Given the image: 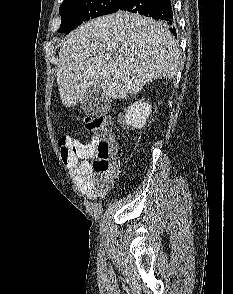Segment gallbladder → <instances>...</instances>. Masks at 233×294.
Masks as SVG:
<instances>
[{"instance_id":"bac80fb5","label":"gallbladder","mask_w":233,"mask_h":294,"mask_svg":"<svg viewBox=\"0 0 233 294\" xmlns=\"http://www.w3.org/2000/svg\"><path fill=\"white\" fill-rule=\"evenodd\" d=\"M108 103L109 100L103 95L100 86L93 85L83 97L81 108L86 115L98 116L107 110Z\"/></svg>"}]
</instances>
